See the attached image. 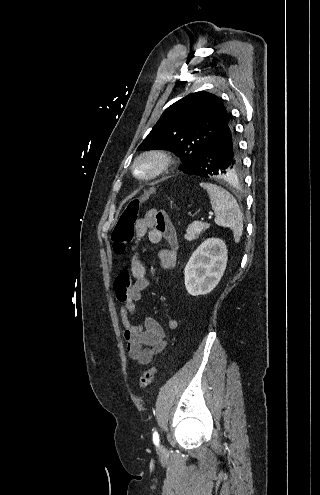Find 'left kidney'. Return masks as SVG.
I'll list each match as a JSON object with an SVG mask.
<instances>
[{
  "instance_id": "left-kidney-1",
  "label": "left kidney",
  "mask_w": 320,
  "mask_h": 495,
  "mask_svg": "<svg viewBox=\"0 0 320 495\" xmlns=\"http://www.w3.org/2000/svg\"><path fill=\"white\" fill-rule=\"evenodd\" d=\"M227 259V247L222 240L204 241L193 252L184 270L188 293L192 296L210 293L221 280Z\"/></svg>"
}]
</instances>
